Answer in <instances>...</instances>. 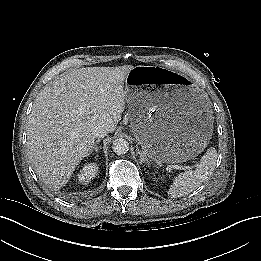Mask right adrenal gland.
<instances>
[{
	"instance_id": "obj_1",
	"label": "right adrenal gland",
	"mask_w": 261,
	"mask_h": 261,
	"mask_svg": "<svg viewBox=\"0 0 261 261\" xmlns=\"http://www.w3.org/2000/svg\"><path fill=\"white\" fill-rule=\"evenodd\" d=\"M99 142H100V140H97V141L95 142L94 147H93L91 153H92L93 151H95L96 153H98L99 147L97 146V144H99ZM96 157H98V155H96Z\"/></svg>"
}]
</instances>
